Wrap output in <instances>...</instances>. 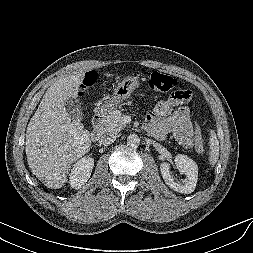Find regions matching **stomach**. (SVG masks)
Segmentation results:
<instances>
[{"instance_id":"stomach-1","label":"stomach","mask_w":253,"mask_h":253,"mask_svg":"<svg viewBox=\"0 0 253 253\" xmlns=\"http://www.w3.org/2000/svg\"><path fill=\"white\" fill-rule=\"evenodd\" d=\"M139 85L138 77L129 76L124 78L114 86L112 97L98 107V112L101 114H111L123 100L131 96Z\"/></svg>"}]
</instances>
